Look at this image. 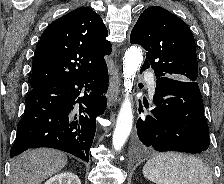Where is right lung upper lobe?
<instances>
[{"label":"right lung upper lobe","instance_id":"right-lung-upper-lobe-1","mask_svg":"<svg viewBox=\"0 0 224 184\" xmlns=\"http://www.w3.org/2000/svg\"><path fill=\"white\" fill-rule=\"evenodd\" d=\"M107 28L88 7L53 21L42 33L32 63L31 88L93 74L111 53Z\"/></svg>","mask_w":224,"mask_h":184}]
</instances>
